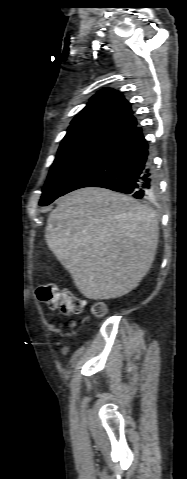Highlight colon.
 I'll use <instances>...</instances> for the list:
<instances>
[{
    "instance_id": "1",
    "label": "colon",
    "mask_w": 187,
    "mask_h": 479,
    "mask_svg": "<svg viewBox=\"0 0 187 479\" xmlns=\"http://www.w3.org/2000/svg\"><path fill=\"white\" fill-rule=\"evenodd\" d=\"M38 299L49 308L57 309L64 315H79L83 312L84 301L76 297L70 289H59L55 285L47 283L36 286ZM106 307L102 302H97L92 307V313L96 317L105 314ZM75 327V323L72 324Z\"/></svg>"
}]
</instances>
